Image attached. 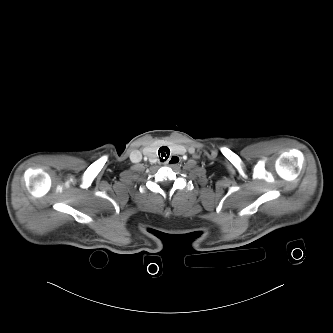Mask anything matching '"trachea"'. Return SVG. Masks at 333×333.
Segmentation results:
<instances>
[{"instance_id": "3493384b", "label": "trachea", "mask_w": 333, "mask_h": 333, "mask_svg": "<svg viewBox=\"0 0 333 333\" xmlns=\"http://www.w3.org/2000/svg\"><path fill=\"white\" fill-rule=\"evenodd\" d=\"M159 158L161 162H164L170 155V149L167 146H162L158 150Z\"/></svg>"}]
</instances>
